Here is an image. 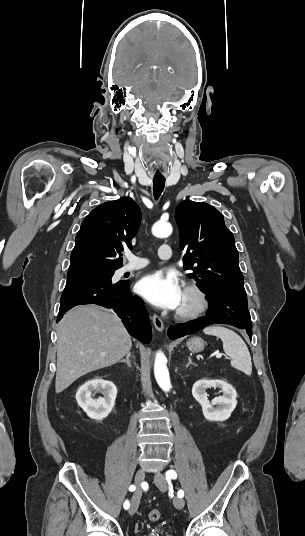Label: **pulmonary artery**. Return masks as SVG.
<instances>
[{
    "instance_id": "obj_1",
    "label": "pulmonary artery",
    "mask_w": 305,
    "mask_h": 536,
    "mask_svg": "<svg viewBox=\"0 0 305 536\" xmlns=\"http://www.w3.org/2000/svg\"><path fill=\"white\" fill-rule=\"evenodd\" d=\"M128 257L133 263H128L124 265L121 269L122 274L134 272V271L143 269L147 266L146 263H140L144 260V257L140 254L136 255V254L128 253ZM159 257L163 260H169L172 257L171 248L170 246H168L166 242H162L160 244Z\"/></svg>"
}]
</instances>
